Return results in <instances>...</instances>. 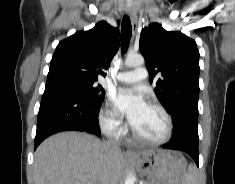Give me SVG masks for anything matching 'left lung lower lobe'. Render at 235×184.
I'll return each mask as SVG.
<instances>
[{"mask_svg": "<svg viewBox=\"0 0 235 184\" xmlns=\"http://www.w3.org/2000/svg\"><path fill=\"white\" fill-rule=\"evenodd\" d=\"M198 140V133L189 128H183L180 132L174 133L170 142L164 145L163 148L186 152L198 166Z\"/></svg>", "mask_w": 235, "mask_h": 184, "instance_id": "1", "label": "left lung lower lobe"}]
</instances>
